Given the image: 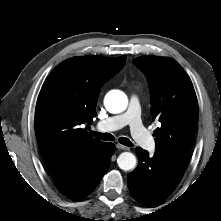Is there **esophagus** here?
<instances>
[{
  "label": "esophagus",
  "instance_id": "34e87169",
  "mask_svg": "<svg viewBox=\"0 0 221 221\" xmlns=\"http://www.w3.org/2000/svg\"><path fill=\"white\" fill-rule=\"evenodd\" d=\"M116 147L121 150H130V147L124 146L122 144H116Z\"/></svg>",
  "mask_w": 221,
  "mask_h": 221
}]
</instances>
